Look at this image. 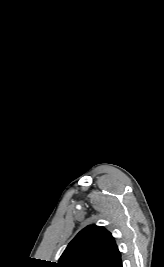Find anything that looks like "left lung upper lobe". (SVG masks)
<instances>
[{
	"mask_svg": "<svg viewBox=\"0 0 164 267\" xmlns=\"http://www.w3.org/2000/svg\"><path fill=\"white\" fill-rule=\"evenodd\" d=\"M118 252L110 232L89 225L69 243L55 267H107Z\"/></svg>",
	"mask_w": 164,
	"mask_h": 267,
	"instance_id": "1",
	"label": "left lung upper lobe"
}]
</instances>
